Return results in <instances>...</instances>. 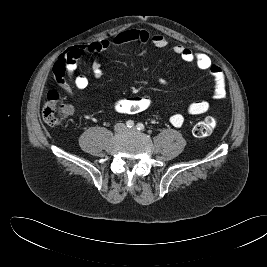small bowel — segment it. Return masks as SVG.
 <instances>
[{
	"instance_id": "c3829d8e",
	"label": "small bowel",
	"mask_w": 267,
	"mask_h": 267,
	"mask_svg": "<svg viewBox=\"0 0 267 267\" xmlns=\"http://www.w3.org/2000/svg\"><path fill=\"white\" fill-rule=\"evenodd\" d=\"M152 43L156 47L163 48L168 45V40L161 34H151L146 30L129 29L118 33L112 39H101L86 44L75 45L64 51L53 65V74L59 87L69 96H73V90L67 82L66 77L72 79L77 90L83 91L89 85L85 75H75L78 67V60L84 54H98L114 45L127 43ZM173 52L183 61L194 63L198 69L208 71L213 78V98L223 99L226 96V81L222 70L212 63L208 55L202 52H194L191 49L176 44L172 47ZM92 75L96 79L103 77V69L99 60H95L91 66ZM165 85V79L159 80ZM210 104L207 100H197L190 103L186 108L187 115H199L209 110ZM72 111V108H69ZM186 116L183 113H174L169 117L170 123L175 127H181Z\"/></svg>"
}]
</instances>
